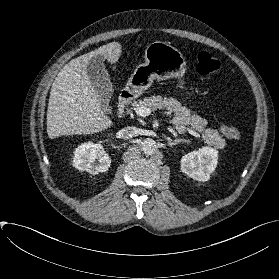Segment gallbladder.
<instances>
[{
  "instance_id": "gallbladder-1",
  "label": "gallbladder",
  "mask_w": 279,
  "mask_h": 279,
  "mask_svg": "<svg viewBox=\"0 0 279 279\" xmlns=\"http://www.w3.org/2000/svg\"><path fill=\"white\" fill-rule=\"evenodd\" d=\"M104 58L100 55L93 57L87 66V74L95 88L102 109H107L113 94V86L108 71L103 63Z\"/></svg>"
}]
</instances>
